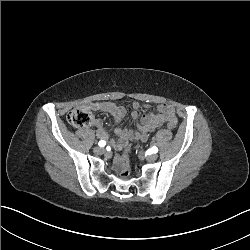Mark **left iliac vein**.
<instances>
[{"label":"left iliac vein","instance_id":"4c4485c4","mask_svg":"<svg viewBox=\"0 0 250 250\" xmlns=\"http://www.w3.org/2000/svg\"><path fill=\"white\" fill-rule=\"evenodd\" d=\"M147 159H148L149 161H155V160L157 159V155H156V154L149 155V156L147 157Z\"/></svg>","mask_w":250,"mask_h":250}]
</instances>
